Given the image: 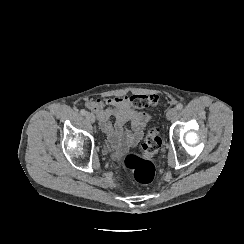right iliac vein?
Segmentation results:
<instances>
[{"mask_svg": "<svg viewBox=\"0 0 244 244\" xmlns=\"http://www.w3.org/2000/svg\"><path fill=\"white\" fill-rule=\"evenodd\" d=\"M85 118L91 123H94L96 121V118L92 113H86Z\"/></svg>", "mask_w": 244, "mask_h": 244, "instance_id": "63e3f726", "label": "right iliac vein"}]
</instances>
